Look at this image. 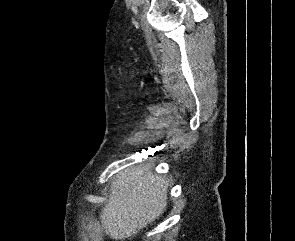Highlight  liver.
<instances>
[{
	"label": "liver",
	"instance_id": "6515ba94",
	"mask_svg": "<svg viewBox=\"0 0 295 241\" xmlns=\"http://www.w3.org/2000/svg\"><path fill=\"white\" fill-rule=\"evenodd\" d=\"M166 206L165 178L150 165L130 167L116 175L100 221L106 235L123 241L159 218Z\"/></svg>",
	"mask_w": 295,
	"mask_h": 241
}]
</instances>
